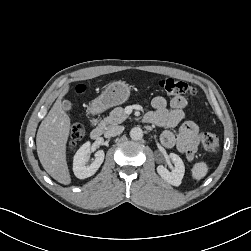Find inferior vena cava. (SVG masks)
Returning a JSON list of instances; mask_svg holds the SVG:
<instances>
[{
  "mask_svg": "<svg viewBox=\"0 0 251 251\" xmlns=\"http://www.w3.org/2000/svg\"><path fill=\"white\" fill-rule=\"evenodd\" d=\"M123 130H124V127H123V126H115V127L109 128V129L105 132L104 136H105L106 138L115 137V136L121 134V133L123 132Z\"/></svg>",
  "mask_w": 251,
  "mask_h": 251,
  "instance_id": "obj_1",
  "label": "inferior vena cava"
}]
</instances>
